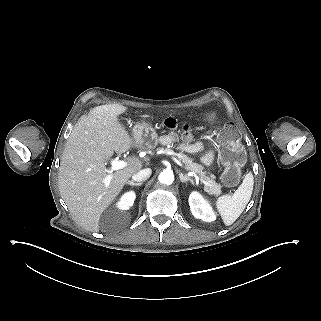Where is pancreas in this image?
<instances>
[{"label": "pancreas", "mask_w": 321, "mask_h": 321, "mask_svg": "<svg viewBox=\"0 0 321 321\" xmlns=\"http://www.w3.org/2000/svg\"><path fill=\"white\" fill-rule=\"evenodd\" d=\"M157 150H161L165 154L172 152V150L168 148H158ZM180 155L181 156L179 157V159L185 165V169L194 172L199 176L201 180L205 181L204 191L210 195L219 196L221 194V185L214 180L215 175L210 174V176H207V173L206 171H203L204 167L201 164L193 162L192 158L186 156L183 153H181Z\"/></svg>", "instance_id": "obj_1"}]
</instances>
